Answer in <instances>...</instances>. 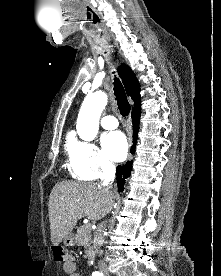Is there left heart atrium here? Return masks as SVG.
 <instances>
[{
	"label": "left heart atrium",
	"mask_w": 221,
	"mask_h": 276,
	"mask_svg": "<svg viewBox=\"0 0 221 276\" xmlns=\"http://www.w3.org/2000/svg\"><path fill=\"white\" fill-rule=\"evenodd\" d=\"M103 148L113 161H122L127 155V139L121 132H112L104 136Z\"/></svg>",
	"instance_id": "obj_1"
}]
</instances>
